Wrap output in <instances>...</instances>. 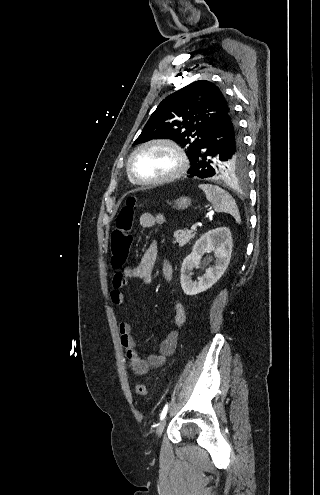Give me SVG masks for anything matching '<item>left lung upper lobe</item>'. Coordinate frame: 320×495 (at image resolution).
<instances>
[{"mask_svg":"<svg viewBox=\"0 0 320 495\" xmlns=\"http://www.w3.org/2000/svg\"><path fill=\"white\" fill-rule=\"evenodd\" d=\"M231 110V105L215 84L206 80L195 81L158 105L133 145L152 139H172L187 148L190 160L215 124L228 116ZM208 158L217 177L244 171L246 161L241 137L236 152L214 150Z\"/></svg>","mask_w":320,"mask_h":495,"instance_id":"left-lung-upper-lobe-1","label":"left lung upper lobe"}]
</instances>
